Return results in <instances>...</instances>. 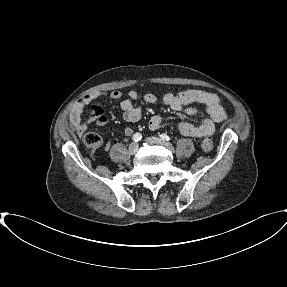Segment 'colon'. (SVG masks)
I'll list each match as a JSON object with an SVG mask.
<instances>
[{"mask_svg": "<svg viewBox=\"0 0 287 287\" xmlns=\"http://www.w3.org/2000/svg\"><path fill=\"white\" fill-rule=\"evenodd\" d=\"M82 141L87 148L94 149L99 146L101 139L95 133H86L83 135ZM201 146L204 151H211L214 147V141L212 138L207 137L202 141Z\"/></svg>", "mask_w": 287, "mask_h": 287, "instance_id": "obj_1", "label": "colon"}]
</instances>
